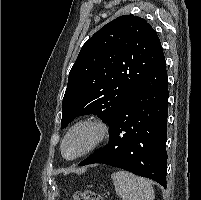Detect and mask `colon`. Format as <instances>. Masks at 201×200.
Masks as SVG:
<instances>
[{"label":"colon","instance_id":"colon-1","mask_svg":"<svg viewBox=\"0 0 201 200\" xmlns=\"http://www.w3.org/2000/svg\"><path fill=\"white\" fill-rule=\"evenodd\" d=\"M72 200H103V198L95 191H78L73 195Z\"/></svg>","mask_w":201,"mask_h":200}]
</instances>
